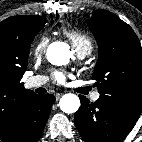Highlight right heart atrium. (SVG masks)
I'll list each match as a JSON object with an SVG mask.
<instances>
[{"label": "right heart atrium", "instance_id": "d8ad5b80", "mask_svg": "<svg viewBox=\"0 0 142 142\" xmlns=\"http://www.w3.org/2000/svg\"><path fill=\"white\" fill-rule=\"evenodd\" d=\"M48 44L49 38L47 36H41L33 45L32 54L35 57H41L44 54Z\"/></svg>", "mask_w": 142, "mask_h": 142}]
</instances>
